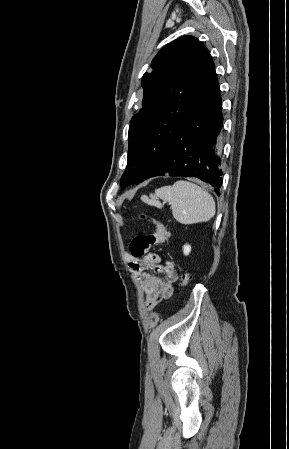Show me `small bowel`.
I'll use <instances>...</instances> for the list:
<instances>
[{"instance_id": "obj_1", "label": "small bowel", "mask_w": 289, "mask_h": 449, "mask_svg": "<svg viewBox=\"0 0 289 449\" xmlns=\"http://www.w3.org/2000/svg\"><path fill=\"white\" fill-rule=\"evenodd\" d=\"M125 258L141 281L148 309L172 296L173 283L178 280V273L171 262L162 264L161 256L156 253L137 258L131 252H126ZM157 273L163 274L164 277L158 276Z\"/></svg>"}]
</instances>
